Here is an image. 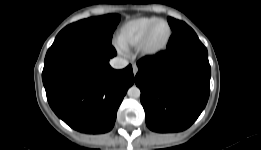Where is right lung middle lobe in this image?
Segmentation results:
<instances>
[{"label":"right lung middle lobe","instance_id":"right-lung-middle-lobe-1","mask_svg":"<svg viewBox=\"0 0 261 150\" xmlns=\"http://www.w3.org/2000/svg\"><path fill=\"white\" fill-rule=\"evenodd\" d=\"M120 21L118 14L92 17L66 26L55 38V43L65 40H85L111 43L113 32Z\"/></svg>","mask_w":261,"mask_h":150}]
</instances>
